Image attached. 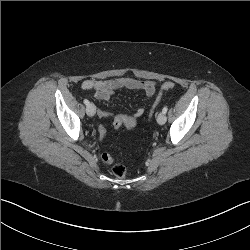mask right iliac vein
I'll return each mask as SVG.
<instances>
[{"mask_svg":"<svg viewBox=\"0 0 250 250\" xmlns=\"http://www.w3.org/2000/svg\"><path fill=\"white\" fill-rule=\"evenodd\" d=\"M86 113H87V115H89L91 117L94 116L95 113H96V107H95V105L92 104V103H90L89 105H87V107H86Z\"/></svg>","mask_w":250,"mask_h":250,"instance_id":"63e3f726","label":"right iliac vein"}]
</instances>
